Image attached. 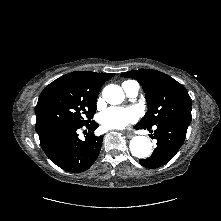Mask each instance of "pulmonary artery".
Wrapping results in <instances>:
<instances>
[{
	"label": "pulmonary artery",
	"mask_w": 221,
	"mask_h": 221,
	"mask_svg": "<svg viewBox=\"0 0 221 221\" xmlns=\"http://www.w3.org/2000/svg\"><path fill=\"white\" fill-rule=\"evenodd\" d=\"M122 88L129 97H136L139 92V84L135 81H127L122 84Z\"/></svg>",
	"instance_id": "pulmonary-artery-1"
}]
</instances>
